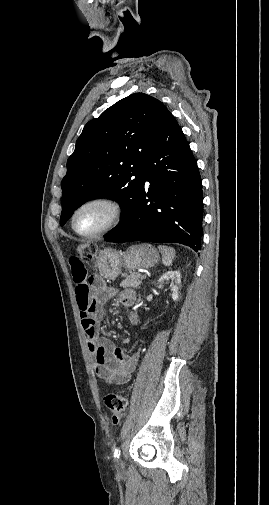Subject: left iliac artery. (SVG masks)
Returning <instances> with one entry per match:
<instances>
[{"instance_id": "1", "label": "left iliac artery", "mask_w": 269, "mask_h": 505, "mask_svg": "<svg viewBox=\"0 0 269 505\" xmlns=\"http://www.w3.org/2000/svg\"><path fill=\"white\" fill-rule=\"evenodd\" d=\"M119 456H120V449L116 448L114 451V458H119Z\"/></svg>"}]
</instances>
